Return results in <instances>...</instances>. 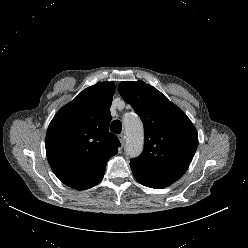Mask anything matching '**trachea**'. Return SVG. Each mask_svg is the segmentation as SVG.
<instances>
[{"instance_id":"1","label":"trachea","mask_w":248,"mask_h":248,"mask_svg":"<svg viewBox=\"0 0 248 248\" xmlns=\"http://www.w3.org/2000/svg\"><path fill=\"white\" fill-rule=\"evenodd\" d=\"M111 132L120 134L122 131V123L119 120H114L110 125Z\"/></svg>"}]
</instances>
